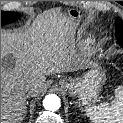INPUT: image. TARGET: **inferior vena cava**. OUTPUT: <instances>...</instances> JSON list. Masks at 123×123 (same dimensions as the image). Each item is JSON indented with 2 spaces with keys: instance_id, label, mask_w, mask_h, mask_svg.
Segmentation results:
<instances>
[{
  "instance_id": "obj_1",
  "label": "inferior vena cava",
  "mask_w": 123,
  "mask_h": 123,
  "mask_svg": "<svg viewBox=\"0 0 123 123\" xmlns=\"http://www.w3.org/2000/svg\"><path fill=\"white\" fill-rule=\"evenodd\" d=\"M36 92V86L34 84H27L24 87V93L26 94L27 97L34 96Z\"/></svg>"
}]
</instances>
